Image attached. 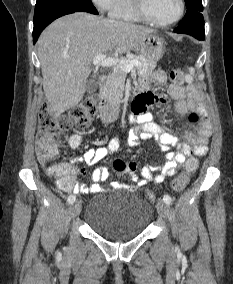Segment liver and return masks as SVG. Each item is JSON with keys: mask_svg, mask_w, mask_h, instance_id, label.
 <instances>
[{"mask_svg": "<svg viewBox=\"0 0 233 284\" xmlns=\"http://www.w3.org/2000/svg\"><path fill=\"white\" fill-rule=\"evenodd\" d=\"M155 30L77 12L51 23L38 40L43 89L58 117L75 107L86 91L93 58L114 49L126 53Z\"/></svg>", "mask_w": 233, "mask_h": 284, "instance_id": "obj_1", "label": "liver"}]
</instances>
